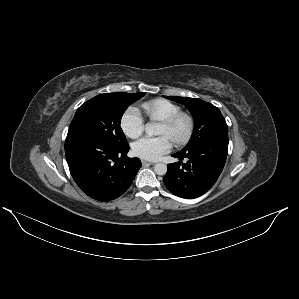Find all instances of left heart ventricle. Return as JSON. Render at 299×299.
<instances>
[{
  "label": "left heart ventricle",
  "mask_w": 299,
  "mask_h": 299,
  "mask_svg": "<svg viewBox=\"0 0 299 299\" xmlns=\"http://www.w3.org/2000/svg\"><path fill=\"white\" fill-rule=\"evenodd\" d=\"M184 127H185V125H184V123L182 122V123L178 126L177 131H178V132L183 131ZM159 134H160V135H167V136H169V137L171 138V132H170V130H169L165 125H163V124H161L160 130H159Z\"/></svg>",
  "instance_id": "left-heart-ventricle-1"
}]
</instances>
